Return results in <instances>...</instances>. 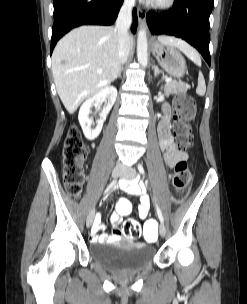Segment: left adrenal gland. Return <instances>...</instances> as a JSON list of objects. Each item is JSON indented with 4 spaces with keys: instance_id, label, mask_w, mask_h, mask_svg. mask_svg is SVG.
<instances>
[{
    "instance_id": "left-adrenal-gland-1",
    "label": "left adrenal gland",
    "mask_w": 247,
    "mask_h": 304,
    "mask_svg": "<svg viewBox=\"0 0 247 304\" xmlns=\"http://www.w3.org/2000/svg\"><path fill=\"white\" fill-rule=\"evenodd\" d=\"M153 69H154V76H157L158 74L161 73V70L158 68L157 65H154V66H153Z\"/></svg>"
}]
</instances>
